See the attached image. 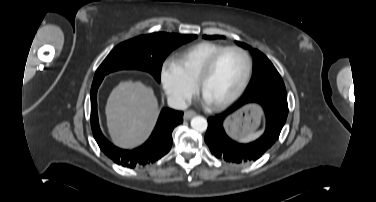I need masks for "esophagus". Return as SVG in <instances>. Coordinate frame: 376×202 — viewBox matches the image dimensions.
Segmentation results:
<instances>
[{
	"label": "esophagus",
	"mask_w": 376,
	"mask_h": 202,
	"mask_svg": "<svg viewBox=\"0 0 376 202\" xmlns=\"http://www.w3.org/2000/svg\"><path fill=\"white\" fill-rule=\"evenodd\" d=\"M196 115V112L193 110H188L184 113V119L189 120L190 118L194 117Z\"/></svg>",
	"instance_id": "34e87169"
}]
</instances>
